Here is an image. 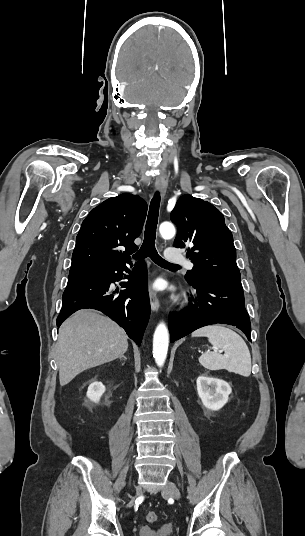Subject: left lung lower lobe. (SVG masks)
<instances>
[{"instance_id": "obj_1", "label": "left lung lower lobe", "mask_w": 305, "mask_h": 536, "mask_svg": "<svg viewBox=\"0 0 305 536\" xmlns=\"http://www.w3.org/2000/svg\"><path fill=\"white\" fill-rule=\"evenodd\" d=\"M190 284V283H189ZM195 305L180 313H170L171 342L203 326L223 323L236 326L251 341V324L244 306V293L238 283H192Z\"/></svg>"}]
</instances>
